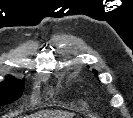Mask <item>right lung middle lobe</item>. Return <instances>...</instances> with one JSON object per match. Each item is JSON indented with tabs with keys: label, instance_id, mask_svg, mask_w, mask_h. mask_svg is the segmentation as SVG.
Listing matches in <instances>:
<instances>
[{
	"label": "right lung middle lobe",
	"instance_id": "1",
	"mask_svg": "<svg viewBox=\"0 0 133 118\" xmlns=\"http://www.w3.org/2000/svg\"><path fill=\"white\" fill-rule=\"evenodd\" d=\"M23 89V80L7 77L4 82L0 83V106L17 100L22 95Z\"/></svg>",
	"mask_w": 133,
	"mask_h": 118
}]
</instances>
